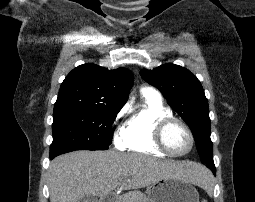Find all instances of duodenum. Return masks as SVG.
Instances as JSON below:
<instances>
[{"label":"duodenum","mask_w":255,"mask_h":202,"mask_svg":"<svg viewBox=\"0 0 255 202\" xmlns=\"http://www.w3.org/2000/svg\"><path fill=\"white\" fill-rule=\"evenodd\" d=\"M99 202H114V197L110 194L100 197Z\"/></svg>","instance_id":"duodenum-1"}]
</instances>
